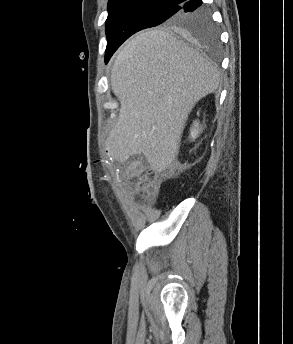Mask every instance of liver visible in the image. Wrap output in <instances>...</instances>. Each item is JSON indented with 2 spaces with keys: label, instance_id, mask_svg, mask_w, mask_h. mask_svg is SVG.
Masks as SVG:
<instances>
[{
  "label": "liver",
  "instance_id": "1",
  "mask_svg": "<svg viewBox=\"0 0 293 344\" xmlns=\"http://www.w3.org/2000/svg\"><path fill=\"white\" fill-rule=\"evenodd\" d=\"M110 82L121 106L107 140L109 153L121 163L143 154L160 173L176 160L189 113L216 91L220 74L202 54L155 29L123 46Z\"/></svg>",
  "mask_w": 293,
  "mask_h": 344
}]
</instances>
